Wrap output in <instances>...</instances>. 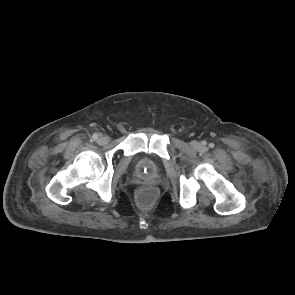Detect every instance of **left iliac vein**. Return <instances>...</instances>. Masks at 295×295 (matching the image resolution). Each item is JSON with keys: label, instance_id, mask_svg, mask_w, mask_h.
<instances>
[{"label": "left iliac vein", "instance_id": "left-iliac-vein-1", "mask_svg": "<svg viewBox=\"0 0 295 295\" xmlns=\"http://www.w3.org/2000/svg\"><path fill=\"white\" fill-rule=\"evenodd\" d=\"M192 145L195 147V146H197V145H198V143L194 142Z\"/></svg>", "mask_w": 295, "mask_h": 295}]
</instances>
